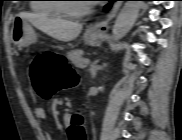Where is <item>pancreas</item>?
<instances>
[{"mask_svg": "<svg viewBox=\"0 0 182 140\" xmlns=\"http://www.w3.org/2000/svg\"><path fill=\"white\" fill-rule=\"evenodd\" d=\"M83 51L82 50H73L68 53V59L71 60L73 65L78 68H85V64L82 59Z\"/></svg>", "mask_w": 182, "mask_h": 140, "instance_id": "obj_1", "label": "pancreas"}]
</instances>
